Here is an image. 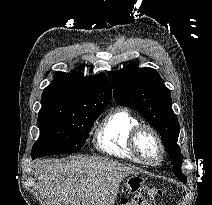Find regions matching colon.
<instances>
[{"label":"colon","mask_w":212,"mask_h":205,"mask_svg":"<svg viewBox=\"0 0 212 205\" xmlns=\"http://www.w3.org/2000/svg\"><path fill=\"white\" fill-rule=\"evenodd\" d=\"M162 194L157 187H144L131 199H123L120 205H153L156 197Z\"/></svg>","instance_id":"1"}]
</instances>
